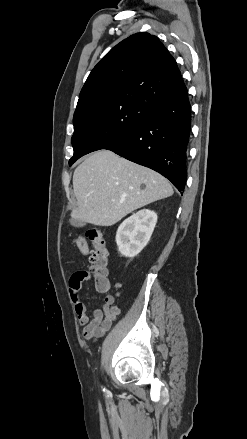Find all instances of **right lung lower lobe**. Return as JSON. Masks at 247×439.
<instances>
[{
	"instance_id": "obj_1",
	"label": "right lung lower lobe",
	"mask_w": 247,
	"mask_h": 439,
	"mask_svg": "<svg viewBox=\"0 0 247 439\" xmlns=\"http://www.w3.org/2000/svg\"><path fill=\"white\" fill-rule=\"evenodd\" d=\"M190 126V103L185 91L154 104L136 128L107 149L159 172L182 191L187 180Z\"/></svg>"
}]
</instances>
